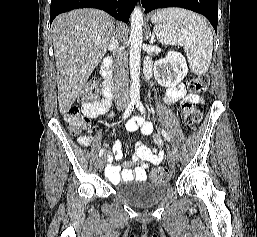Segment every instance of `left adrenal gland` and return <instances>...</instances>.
<instances>
[{"mask_svg": "<svg viewBox=\"0 0 257 237\" xmlns=\"http://www.w3.org/2000/svg\"><path fill=\"white\" fill-rule=\"evenodd\" d=\"M149 36H151V33L150 32H148V36H147V39L149 38ZM151 43H153L154 42V38L153 37H151V41H150Z\"/></svg>", "mask_w": 257, "mask_h": 237, "instance_id": "1", "label": "left adrenal gland"}]
</instances>
